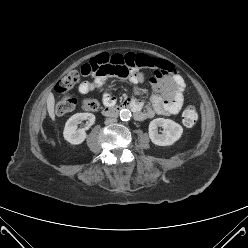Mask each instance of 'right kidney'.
<instances>
[{"instance_id":"right-kidney-1","label":"right kidney","mask_w":248,"mask_h":248,"mask_svg":"<svg viewBox=\"0 0 248 248\" xmlns=\"http://www.w3.org/2000/svg\"><path fill=\"white\" fill-rule=\"evenodd\" d=\"M83 120H87L86 128L78 129V124ZM94 122L95 116L92 113L74 114L65 124L63 131L65 140L74 145L81 144L87 137L86 130L93 125Z\"/></svg>"}]
</instances>
